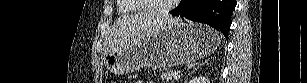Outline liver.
I'll use <instances>...</instances> for the list:
<instances>
[{"mask_svg": "<svg viewBox=\"0 0 307 83\" xmlns=\"http://www.w3.org/2000/svg\"><path fill=\"white\" fill-rule=\"evenodd\" d=\"M177 22H181V19L147 13L123 17L113 26L106 53L125 48L159 31L166 25Z\"/></svg>", "mask_w": 307, "mask_h": 83, "instance_id": "6515ba94", "label": "liver"}]
</instances>
